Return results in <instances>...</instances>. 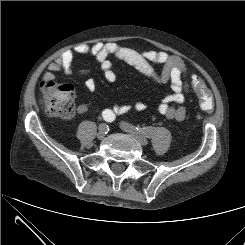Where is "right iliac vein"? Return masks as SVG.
Returning <instances> with one entry per match:
<instances>
[{
	"label": "right iliac vein",
	"instance_id": "right-iliac-vein-1",
	"mask_svg": "<svg viewBox=\"0 0 245 245\" xmlns=\"http://www.w3.org/2000/svg\"><path fill=\"white\" fill-rule=\"evenodd\" d=\"M104 137H105V132L102 129V126L100 125L99 126V131L97 133V138L100 139V140H102Z\"/></svg>",
	"mask_w": 245,
	"mask_h": 245
}]
</instances>
